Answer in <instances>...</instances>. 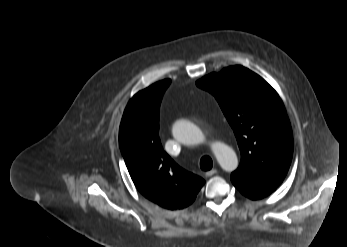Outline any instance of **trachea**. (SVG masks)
Wrapping results in <instances>:
<instances>
[{
	"instance_id": "1",
	"label": "trachea",
	"mask_w": 347,
	"mask_h": 247,
	"mask_svg": "<svg viewBox=\"0 0 347 247\" xmlns=\"http://www.w3.org/2000/svg\"><path fill=\"white\" fill-rule=\"evenodd\" d=\"M213 167L212 159L209 156H203L200 160V168L203 171H209Z\"/></svg>"
}]
</instances>
